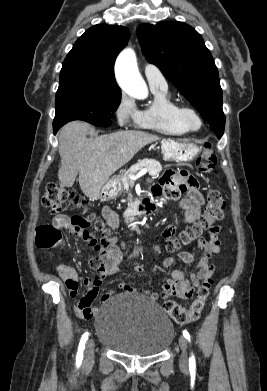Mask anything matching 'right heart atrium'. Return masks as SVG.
<instances>
[{
  "label": "right heart atrium",
  "mask_w": 267,
  "mask_h": 391,
  "mask_svg": "<svg viewBox=\"0 0 267 391\" xmlns=\"http://www.w3.org/2000/svg\"><path fill=\"white\" fill-rule=\"evenodd\" d=\"M139 111L134 101L126 95H122L114 109V115L120 126L137 121Z\"/></svg>",
  "instance_id": "obj_1"
}]
</instances>
